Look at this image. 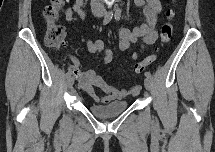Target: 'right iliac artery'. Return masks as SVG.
Instances as JSON below:
<instances>
[{
	"label": "right iliac artery",
	"mask_w": 215,
	"mask_h": 152,
	"mask_svg": "<svg viewBox=\"0 0 215 152\" xmlns=\"http://www.w3.org/2000/svg\"><path fill=\"white\" fill-rule=\"evenodd\" d=\"M112 17H113V12H112V11H109V12L105 15V17H104L103 25L108 24V23L111 21ZM70 74H71L70 71H68V72L66 73V76L68 77V76H70Z\"/></svg>",
	"instance_id": "obj_1"
}]
</instances>
